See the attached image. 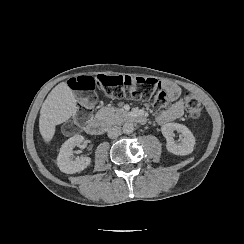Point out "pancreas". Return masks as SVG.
Returning a JSON list of instances; mask_svg holds the SVG:
<instances>
[{
    "instance_id": "1",
    "label": "pancreas",
    "mask_w": 244,
    "mask_h": 244,
    "mask_svg": "<svg viewBox=\"0 0 244 244\" xmlns=\"http://www.w3.org/2000/svg\"><path fill=\"white\" fill-rule=\"evenodd\" d=\"M125 111L117 107H102L95 115V119H102L105 121L120 124L123 122V115Z\"/></svg>"
}]
</instances>
